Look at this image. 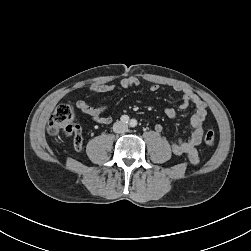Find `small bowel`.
<instances>
[{"mask_svg": "<svg viewBox=\"0 0 251 251\" xmlns=\"http://www.w3.org/2000/svg\"><path fill=\"white\" fill-rule=\"evenodd\" d=\"M140 85V80L136 76H129L122 78L118 84H98L93 85L90 88L92 94L99 93H110L116 91H124ZM159 90V85L153 84L149 87L151 93H156ZM175 90L182 94V99L179 104V108L186 110L193 106L195 109L194 114L191 117V133L189 137L185 140L176 139L171 141V149L175 155H186L192 164H197L199 161L197 146L201 143L203 132H204V121L207 115L206 103L199 98L194 92L187 88L176 87ZM77 108L88 115L94 122L99 124H110L112 122V117L104 115L105 111L108 109L107 104H102L97 107L90 106L83 100L76 102ZM165 115L169 119H175L177 117V112L171 107L164 109ZM156 132L162 131V126L157 124L155 126ZM77 150L82 147V142L76 146Z\"/></svg>", "mask_w": 251, "mask_h": 251, "instance_id": "obj_1", "label": "small bowel"}]
</instances>
